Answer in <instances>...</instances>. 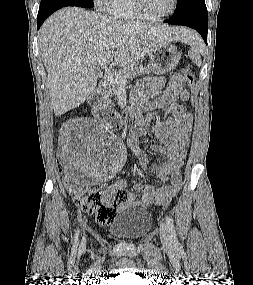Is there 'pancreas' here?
<instances>
[{
	"mask_svg": "<svg viewBox=\"0 0 253 285\" xmlns=\"http://www.w3.org/2000/svg\"><path fill=\"white\" fill-rule=\"evenodd\" d=\"M150 72L151 71L148 67H143L142 65H138L136 63L123 67V69L119 70L117 73L112 75V77H109L104 81L101 93L103 103L109 105L112 102L111 98L117 95L118 89L123 86L120 83H116L115 79H123L127 83L128 79H133L137 75H148Z\"/></svg>",
	"mask_w": 253,
	"mask_h": 285,
	"instance_id": "obj_1",
	"label": "pancreas"
}]
</instances>
